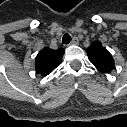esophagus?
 Here are the masks:
<instances>
[{"mask_svg": "<svg viewBox=\"0 0 127 127\" xmlns=\"http://www.w3.org/2000/svg\"><path fill=\"white\" fill-rule=\"evenodd\" d=\"M70 44L78 45L79 44V39L77 37H73Z\"/></svg>", "mask_w": 127, "mask_h": 127, "instance_id": "34e87169", "label": "esophagus"}]
</instances>
